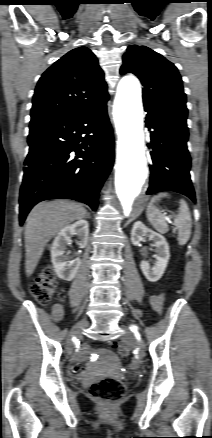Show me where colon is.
Listing matches in <instances>:
<instances>
[{"label": "colon", "mask_w": 212, "mask_h": 438, "mask_svg": "<svg viewBox=\"0 0 212 438\" xmlns=\"http://www.w3.org/2000/svg\"><path fill=\"white\" fill-rule=\"evenodd\" d=\"M57 287V279L52 267L44 268L30 287L32 296L40 303L47 304L54 295ZM118 354L122 358H127L129 350L119 341L112 342ZM126 392V384L116 378L107 377L93 383L90 386L89 393L98 402L106 408H110L114 403L119 401Z\"/></svg>", "instance_id": "1"}]
</instances>
